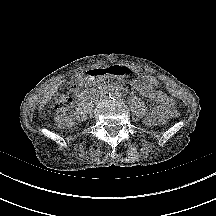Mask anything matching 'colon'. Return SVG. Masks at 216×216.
Returning a JSON list of instances; mask_svg holds the SVG:
<instances>
[{
  "instance_id": "1",
  "label": "colon",
  "mask_w": 216,
  "mask_h": 216,
  "mask_svg": "<svg viewBox=\"0 0 216 216\" xmlns=\"http://www.w3.org/2000/svg\"><path fill=\"white\" fill-rule=\"evenodd\" d=\"M72 99L64 94L58 93L54 98V120L61 129H70L74 126V119L70 113ZM180 111L171 110L168 115L171 118H179Z\"/></svg>"
}]
</instances>
